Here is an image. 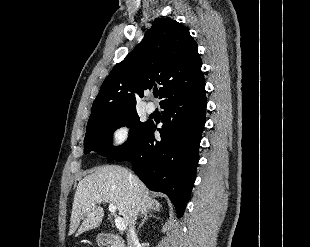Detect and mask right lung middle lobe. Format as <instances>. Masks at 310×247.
Returning <instances> with one entry per match:
<instances>
[{
	"instance_id": "dd1d6c3e",
	"label": "right lung middle lobe",
	"mask_w": 310,
	"mask_h": 247,
	"mask_svg": "<svg viewBox=\"0 0 310 247\" xmlns=\"http://www.w3.org/2000/svg\"><path fill=\"white\" fill-rule=\"evenodd\" d=\"M148 123L139 121L136 109L95 119L87 124L84 153L96 151L108 161L115 160L131 147ZM121 126L130 128L129 139L122 146L113 147L112 134Z\"/></svg>"
}]
</instances>
